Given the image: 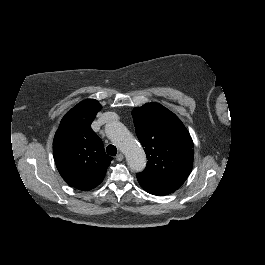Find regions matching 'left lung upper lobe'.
I'll return each mask as SVG.
<instances>
[{
    "label": "left lung upper lobe",
    "mask_w": 265,
    "mask_h": 265,
    "mask_svg": "<svg viewBox=\"0 0 265 265\" xmlns=\"http://www.w3.org/2000/svg\"><path fill=\"white\" fill-rule=\"evenodd\" d=\"M136 134L147 155L138 181L177 190L193 167V141L181 120L158 103H147L132 112Z\"/></svg>",
    "instance_id": "5c2ea615"
}]
</instances>
